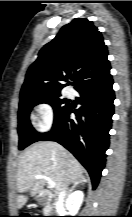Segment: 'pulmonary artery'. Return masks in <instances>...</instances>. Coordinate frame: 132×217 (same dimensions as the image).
Masks as SVG:
<instances>
[{
  "mask_svg": "<svg viewBox=\"0 0 132 217\" xmlns=\"http://www.w3.org/2000/svg\"><path fill=\"white\" fill-rule=\"evenodd\" d=\"M67 94H68V96H72L73 95V91L71 90V89H69L68 91H67Z\"/></svg>",
  "mask_w": 132,
  "mask_h": 217,
  "instance_id": "1",
  "label": "pulmonary artery"
}]
</instances>
